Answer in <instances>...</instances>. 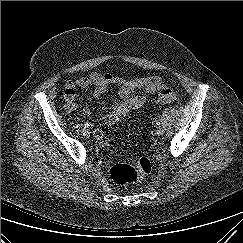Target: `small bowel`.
<instances>
[{"mask_svg":"<svg viewBox=\"0 0 243 243\" xmlns=\"http://www.w3.org/2000/svg\"><path fill=\"white\" fill-rule=\"evenodd\" d=\"M111 85L119 86L118 97L113 98V107L107 115L110 125L117 124L124 119L131 111L143 106L147 99V94H153L162 90L165 85L159 76L144 78L125 79L113 76L110 73L93 72L87 76H82L76 80H69L65 84V101L70 111L77 109L75 102L76 89L94 87L93 97L100 99ZM84 116H90L92 111L89 107L82 110ZM94 135L100 145L107 143L103 131L96 127Z\"/></svg>","mask_w":243,"mask_h":243,"instance_id":"obj_1","label":"small bowel"}]
</instances>
